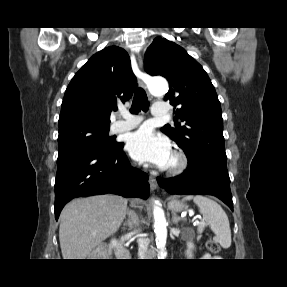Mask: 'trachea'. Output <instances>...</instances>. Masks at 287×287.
Masks as SVG:
<instances>
[{
    "label": "trachea",
    "mask_w": 287,
    "mask_h": 287,
    "mask_svg": "<svg viewBox=\"0 0 287 287\" xmlns=\"http://www.w3.org/2000/svg\"><path fill=\"white\" fill-rule=\"evenodd\" d=\"M148 109H149V101L146 92L142 88H137L134 93V98L130 112L132 114H137L141 110L146 112L148 111Z\"/></svg>",
    "instance_id": "trachea-1"
}]
</instances>
